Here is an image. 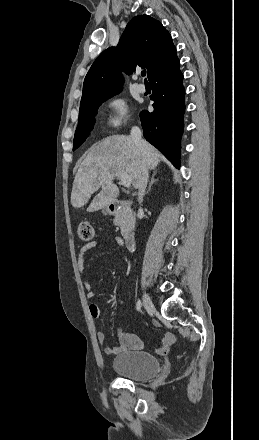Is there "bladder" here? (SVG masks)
<instances>
[{
  "label": "bladder",
  "instance_id": "obj_1",
  "mask_svg": "<svg viewBox=\"0 0 259 440\" xmlns=\"http://www.w3.org/2000/svg\"><path fill=\"white\" fill-rule=\"evenodd\" d=\"M114 372L121 377L142 381L156 376L161 369L160 361L146 351H123L112 360Z\"/></svg>",
  "mask_w": 259,
  "mask_h": 440
}]
</instances>
